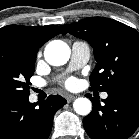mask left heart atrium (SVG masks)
I'll return each mask as SVG.
<instances>
[{
  "label": "left heart atrium",
  "mask_w": 139,
  "mask_h": 139,
  "mask_svg": "<svg viewBox=\"0 0 139 139\" xmlns=\"http://www.w3.org/2000/svg\"><path fill=\"white\" fill-rule=\"evenodd\" d=\"M66 86H67L68 88H73V87H75V86H76V80H75V79H69V80H67Z\"/></svg>",
  "instance_id": "left-heart-atrium-1"
}]
</instances>
